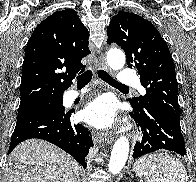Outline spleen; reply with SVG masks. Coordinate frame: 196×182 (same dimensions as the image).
<instances>
[{"label":"spleen","instance_id":"1","mask_svg":"<svg viewBox=\"0 0 196 182\" xmlns=\"http://www.w3.org/2000/svg\"><path fill=\"white\" fill-rule=\"evenodd\" d=\"M133 171L146 182H188L184 165L169 153L144 155L134 163Z\"/></svg>","mask_w":196,"mask_h":182}]
</instances>
